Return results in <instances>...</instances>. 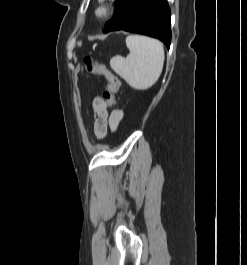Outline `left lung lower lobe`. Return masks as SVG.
Wrapping results in <instances>:
<instances>
[{
	"label": "left lung lower lobe",
	"instance_id": "obj_1",
	"mask_svg": "<svg viewBox=\"0 0 247 265\" xmlns=\"http://www.w3.org/2000/svg\"><path fill=\"white\" fill-rule=\"evenodd\" d=\"M170 9L166 0H116L113 18L103 32L125 30L171 42Z\"/></svg>",
	"mask_w": 247,
	"mask_h": 265
}]
</instances>
